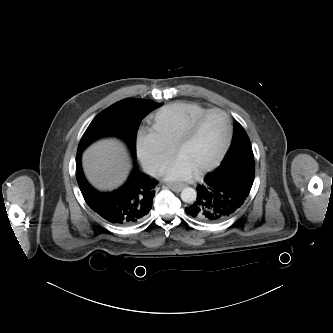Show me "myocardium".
<instances>
[{
	"mask_svg": "<svg viewBox=\"0 0 333 333\" xmlns=\"http://www.w3.org/2000/svg\"><path fill=\"white\" fill-rule=\"evenodd\" d=\"M212 113H220L224 116V118L227 122V135H226L225 141H224L219 153L215 157V159L212 162H210L209 164H207L206 166L196 170L195 171L196 175H202L206 172L211 171L221 162V160L225 156V154L231 144L232 137H233V122H232L230 115L226 111H224L220 108L208 109L207 111H205L204 113H202L197 118H195L192 122L189 123V125L178 136V138L175 140V142L172 146L173 152L177 153L179 147L181 145H183L186 141H188L194 135V133H195L196 129L198 128V126L200 125V123L207 116H209Z\"/></svg>",
	"mask_w": 333,
	"mask_h": 333,
	"instance_id": "myocardium-1",
	"label": "myocardium"
}]
</instances>
